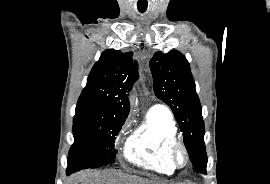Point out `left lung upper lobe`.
<instances>
[{
  "label": "left lung upper lobe",
  "instance_id": "1",
  "mask_svg": "<svg viewBox=\"0 0 270 184\" xmlns=\"http://www.w3.org/2000/svg\"><path fill=\"white\" fill-rule=\"evenodd\" d=\"M155 95L171 107L183 133L193 170L206 174L204 122L189 63L179 51L156 52L150 60Z\"/></svg>",
  "mask_w": 270,
  "mask_h": 184
}]
</instances>
